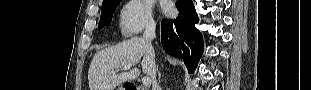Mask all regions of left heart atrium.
Masks as SVG:
<instances>
[{
  "mask_svg": "<svg viewBox=\"0 0 311 90\" xmlns=\"http://www.w3.org/2000/svg\"><path fill=\"white\" fill-rule=\"evenodd\" d=\"M171 10V8L169 7V8H167V11H170Z\"/></svg>",
  "mask_w": 311,
  "mask_h": 90,
  "instance_id": "left-heart-atrium-1",
  "label": "left heart atrium"
}]
</instances>
